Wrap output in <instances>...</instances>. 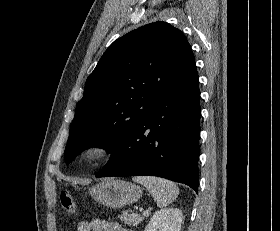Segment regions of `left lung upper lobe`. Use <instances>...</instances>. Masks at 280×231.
<instances>
[{
  "label": "left lung upper lobe",
  "mask_w": 280,
  "mask_h": 231,
  "mask_svg": "<svg viewBox=\"0 0 280 231\" xmlns=\"http://www.w3.org/2000/svg\"><path fill=\"white\" fill-rule=\"evenodd\" d=\"M195 71L186 37L166 22L145 25L114 41L86 80L69 131L66 163L90 147L114 153L156 101Z\"/></svg>",
  "instance_id": "5c2ea615"
}]
</instances>
